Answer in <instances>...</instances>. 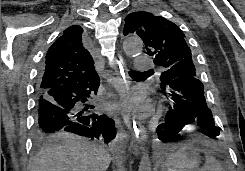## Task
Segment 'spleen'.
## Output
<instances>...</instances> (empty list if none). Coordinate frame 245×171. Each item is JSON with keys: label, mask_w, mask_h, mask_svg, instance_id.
I'll list each match as a JSON object with an SVG mask.
<instances>
[{"label": "spleen", "mask_w": 245, "mask_h": 171, "mask_svg": "<svg viewBox=\"0 0 245 171\" xmlns=\"http://www.w3.org/2000/svg\"><path fill=\"white\" fill-rule=\"evenodd\" d=\"M199 171H224V169L213 156L206 155L205 165Z\"/></svg>", "instance_id": "obj_1"}]
</instances>
